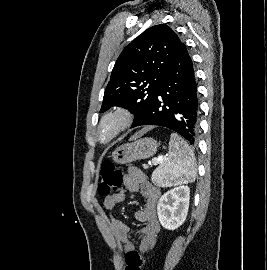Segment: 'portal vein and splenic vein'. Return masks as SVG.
Here are the masks:
<instances>
[{
    "mask_svg": "<svg viewBox=\"0 0 267 270\" xmlns=\"http://www.w3.org/2000/svg\"><path fill=\"white\" fill-rule=\"evenodd\" d=\"M163 158L159 157V158H153L152 159V164L156 165L160 162H162Z\"/></svg>",
    "mask_w": 267,
    "mask_h": 270,
    "instance_id": "obj_1",
    "label": "portal vein and splenic vein"
}]
</instances>
